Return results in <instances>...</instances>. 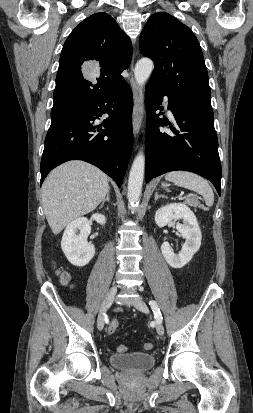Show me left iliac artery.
I'll return each instance as SVG.
<instances>
[{"label":"left iliac artery","mask_w":253,"mask_h":413,"mask_svg":"<svg viewBox=\"0 0 253 413\" xmlns=\"http://www.w3.org/2000/svg\"><path fill=\"white\" fill-rule=\"evenodd\" d=\"M149 305H150L151 309L153 310V312L155 314V318L157 320L161 321L162 320V315H161L160 309L157 305V302L154 301V300H151V301H149Z\"/></svg>","instance_id":"44dca946"}]
</instances>
